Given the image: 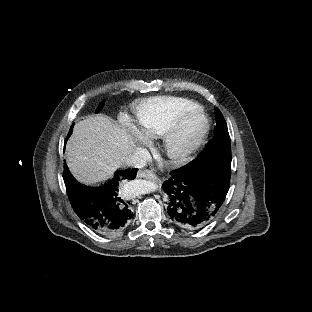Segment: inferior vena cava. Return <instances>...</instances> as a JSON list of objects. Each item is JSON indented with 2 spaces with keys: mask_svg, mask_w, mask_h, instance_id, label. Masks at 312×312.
<instances>
[{
  "mask_svg": "<svg viewBox=\"0 0 312 312\" xmlns=\"http://www.w3.org/2000/svg\"><path fill=\"white\" fill-rule=\"evenodd\" d=\"M151 160L150 153L143 148H137L136 152L124 161L128 167L143 168Z\"/></svg>",
  "mask_w": 312,
  "mask_h": 312,
  "instance_id": "inferior-vena-cava-1",
  "label": "inferior vena cava"
}]
</instances>
